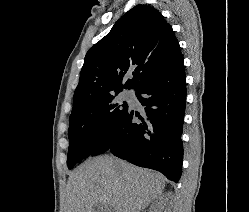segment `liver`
I'll list each match as a JSON object with an SVG mask.
<instances>
[{
  "mask_svg": "<svg viewBox=\"0 0 249 212\" xmlns=\"http://www.w3.org/2000/svg\"><path fill=\"white\" fill-rule=\"evenodd\" d=\"M166 178L113 156L88 158L69 176L67 212H144L162 196Z\"/></svg>",
  "mask_w": 249,
  "mask_h": 212,
  "instance_id": "liver-1",
  "label": "liver"
}]
</instances>
